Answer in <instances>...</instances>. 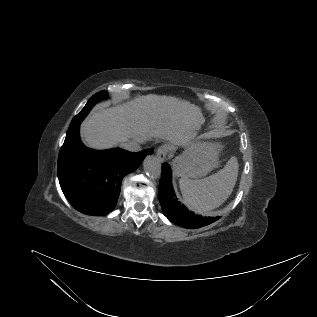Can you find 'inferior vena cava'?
<instances>
[{"label": "inferior vena cava", "instance_id": "602c4592", "mask_svg": "<svg viewBox=\"0 0 317 317\" xmlns=\"http://www.w3.org/2000/svg\"><path fill=\"white\" fill-rule=\"evenodd\" d=\"M145 140L138 139L135 141H126L121 143V147L125 150L131 151V152H138L141 151V146L139 143H143Z\"/></svg>", "mask_w": 317, "mask_h": 317}]
</instances>
